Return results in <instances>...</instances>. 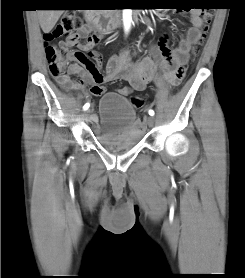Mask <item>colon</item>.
Listing matches in <instances>:
<instances>
[{
  "label": "colon",
  "instance_id": "colon-1",
  "mask_svg": "<svg viewBox=\"0 0 245 278\" xmlns=\"http://www.w3.org/2000/svg\"><path fill=\"white\" fill-rule=\"evenodd\" d=\"M204 14L201 18L200 29L206 31L210 22L209 12L212 10L210 5L201 7ZM81 28V19L73 13L63 14L57 25L44 33L45 51L48 60L49 71L53 77L59 79L64 84H69L65 79V69L69 62H83L86 59V53L82 50H73L69 44H56L55 41L61 37L68 36ZM179 83V79L174 81V85ZM117 92L122 96H129L128 87H119ZM135 108H140L144 104L141 96H133L130 99Z\"/></svg>",
  "mask_w": 245,
  "mask_h": 278
}]
</instances>
